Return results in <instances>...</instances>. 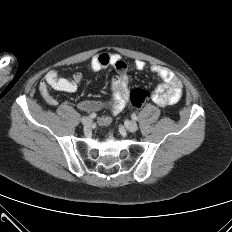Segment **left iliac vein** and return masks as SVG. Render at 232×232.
<instances>
[{"mask_svg": "<svg viewBox=\"0 0 232 232\" xmlns=\"http://www.w3.org/2000/svg\"><path fill=\"white\" fill-rule=\"evenodd\" d=\"M127 129H128L130 132H135V131H137V129H138V125H137V123L134 122V121H129V122L127 123Z\"/></svg>", "mask_w": 232, "mask_h": 232, "instance_id": "obj_1", "label": "left iliac vein"}]
</instances>
